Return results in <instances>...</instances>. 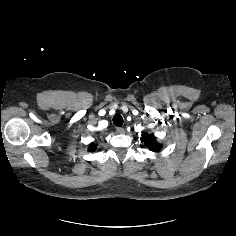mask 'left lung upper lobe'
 I'll return each mask as SVG.
<instances>
[{"instance_id": "obj_1", "label": "left lung upper lobe", "mask_w": 236, "mask_h": 236, "mask_svg": "<svg viewBox=\"0 0 236 236\" xmlns=\"http://www.w3.org/2000/svg\"><path fill=\"white\" fill-rule=\"evenodd\" d=\"M142 139L146 147H148L152 151H159L162 147L161 144H158L155 138L148 134H143Z\"/></svg>"}]
</instances>
